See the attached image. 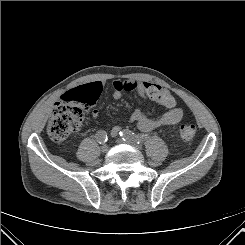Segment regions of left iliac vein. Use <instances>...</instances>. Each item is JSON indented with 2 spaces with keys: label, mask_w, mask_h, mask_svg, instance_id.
<instances>
[{
  "label": "left iliac vein",
  "mask_w": 245,
  "mask_h": 245,
  "mask_svg": "<svg viewBox=\"0 0 245 245\" xmlns=\"http://www.w3.org/2000/svg\"><path fill=\"white\" fill-rule=\"evenodd\" d=\"M116 142L117 143H124V141L121 138L117 139ZM125 143L132 145V146L136 147L137 149L141 148V146L139 144H137L136 142H133L131 140H127V141H125Z\"/></svg>",
  "instance_id": "obj_1"
}]
</instances>
